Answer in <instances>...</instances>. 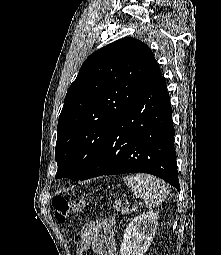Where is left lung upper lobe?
<instances>
[{
	"label": "left lung upper lobe",
	"mask_w": 221,
	"mask_h": 255,
	"mask_svg": "<svg viewBox=\"0 0 221 255\" xmlns=\"http://www.w3.org/2000/svg\"><path fill=\"white\" fill-rule=\"evenodd\" d=\"M150 48L126 37L91 54L71 84L58 119L56 178L78 181L118 117L160 78Z\"/></svg>",
	"instance_id": "5c2ea615"
}]
</instances>
